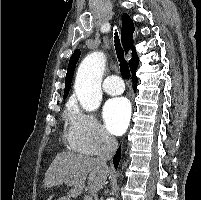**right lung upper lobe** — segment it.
<instances>
[{"mask_svg": "<svg viewBox=\"0 0 201 200\" xmlns=\"http://www.w3.org/2000/svg\"><path fill=\"white\" fill-rule=\"evenodd\" d=\"M133 32H134V24L131 18L127 14H123L122 16V29H121V40L124 47V50L128 52L130 49L132 50V59L129 61V65L132 73L136 71L139 63V59L135 48L133 46ZM80 56V50H76L70 58L69 66L67 69L66 79H65V89H64V99L67 97L71 81L73 78L74 70L76 67V63Z\"/></svg>", "mask_w": 201, "mask_h": 200, "instance_id": "1", "label": "right lung upper lobe"}]
</instances>
